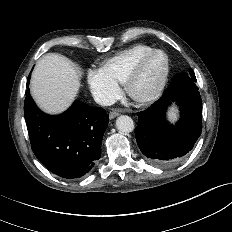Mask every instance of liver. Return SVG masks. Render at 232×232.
Returning a JSON list of instances; mask_svg holds the SVG:
<instances>
[{
	"label": "liver",
	"instance_id": "6515ba94",
	"mask_svg": "<svg viewBox=\"0 0 232 232\" xmlns=\"http://www.w3.org/2000/svg\"><path fill=\"white\" fill-rule=\"evenodd\" d=\"M79 87V71L68 58L49 53L38 60L30 88L44 111L52 114L64 111L75 99Z\"/></svg>",
	"mask_w": 232,
	"mask_h": 232
}]
</instances>
